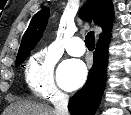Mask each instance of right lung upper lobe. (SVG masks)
Returning <instances> with one entry per match:
<instances>
[{
  "label": "right lung upper lobe",
  "instance_id": "obj_1",
  "mask_svg": "<svg viewBox=\"0 0 131 115\" xmlns=\"http://www.w3.org/2000/svg\"><path fill=\"white\" fill-rule=\"evenodd\" d=\"M49 13V8L45 7L34 15L28 29L23 35L17 57L35 47L45 29ZM80 17L88 22L93 21L102 28L99 40L110 38L114 17L111 0H89L80 10Z\"/></svg>",
  "mask_w": 131,
  "mask_h": 115
}]
</instances>
